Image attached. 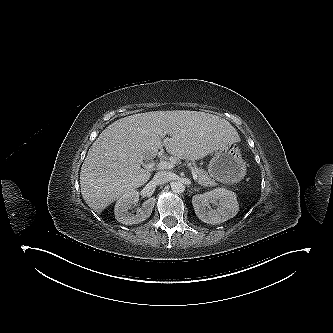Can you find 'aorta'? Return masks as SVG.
<instances>
[{
  "instance_id": "1",
  "label": "aorta",
  "mask_w": 333,
  "mask_h": 333,
  "mask_svg": "<svg viewBox=\"0 0 333 333\" xmlns=\"http://www.w3.org/2000/svg\"><path fill=\"white\" fill-rule=\"evenodd\" d=\"M171 189L174 193H183L185 191V185L182 182H173L171 185Z\"/></svg>"
}]
</instances>
